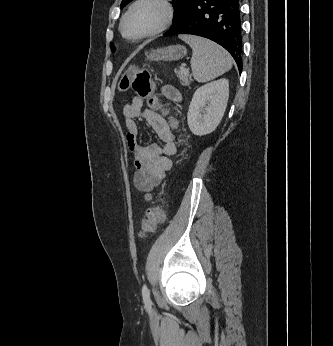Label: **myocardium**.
Segmentation results:
<instances>
[{
	"mask_svg": "<svg viewBox=\"0 0 333 346\" xmlns=\"http://www.w3.org/2000/svg\"><path fill=\"white\" fill-rule=\"evenodd\" d=\"M148 1L156 2L162 6V8L164 9L163 20L161 21V23L156 28H154L151 31H148L146 33H143V34H140V35H137L134 37L127 36L125 34V31H124V24H125L127 17L135 9V7H137L139 4H141L143 2H148ZM174 15H175V9H174V5L172 3V0H135L129 6V8L126 10V12L124 13V15L120 21V26H119L120 33L124 38L131 39V40H139V39H144V38H148V37H153V36L158 35L159 33L163 32L164 30H166L172 24L173 19H174Z\"/></svg>",
	"mask_w": 333,
	"mask_h": 346,
	"instance_id": "f54148a6",
	"label": "myocardium"
}]
</instances>
